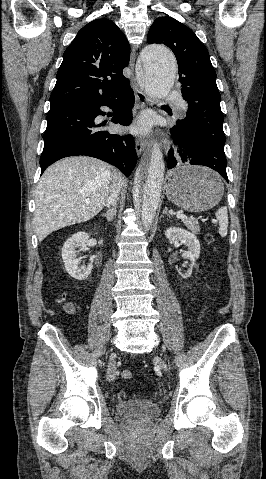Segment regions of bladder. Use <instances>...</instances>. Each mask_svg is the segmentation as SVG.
<instances>
[{
    "label": "bladder",
    "mask_w": 266,
    "mask_h": 479,
    "mask_svg": "<svg viewBox=\"0 0 266 479\" xmlns=\"http://www.w3.org/2000/svg\"><path fill=\"white\" fill-rule=\"evenodd\" d=\"M117 411L121 416L138 419L151 420L160 414V407L150 401H121L117 404Z\"/></svg>",
    "instance_id": "bladder-1"
}]
</instances>
